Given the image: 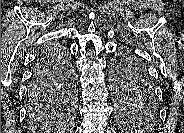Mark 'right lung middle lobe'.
Instances as JSON below:
<instances>
[{
	"mask_svg": "<svg viewBox=\"0 0 184 133\" xmlns=\"http://www.w3.org/2000/svg\"><path fill=\"white\" fill-rule=\"evenodd\" d=\"M43 68L47 71L49 80L40 90L34 89L28 94L27 108L31 116H39L59 104L72 101L74 73L70 60L59 47L49 48L43 53Z\"/></svg>",
	"mask_w": 184,
	"mask_h": 133,
	"instance_id": "1",
	"label": "right lung middle lobe"
}]
</instances>
